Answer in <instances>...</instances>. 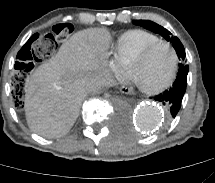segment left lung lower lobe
Wrapping results in <instances>:
<instances>
[{
  "instance_id": "obj_1",
  "label": "left lung lower lobe",
  "mask_w": 215,
  "mask_h": 183,
  "mask_svg": "<svg viewBox=\"0 0 215 183\" xmlns=\"http://www.w3.org/2000/svg\"><path fill=\"white\" fill-rule=\"evenodd\" d=\"M188 70L178 71L177 78L173 85L155 96L153 99L162 103L167 108L168 120L175 118L180 110L182 99L186 91Z\"/></svg>"
}]
</instances>
